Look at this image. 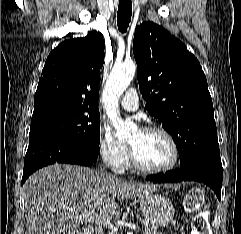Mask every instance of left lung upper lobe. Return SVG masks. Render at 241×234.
I'll return each instance as SVG.
<instances>
[{
    "mask_svg": "<svg viewBox=\"0 0 241 234\" xmlns=\"http://www.w3.org/2000/svg\"><path fill=\"white\" fill-rule=\"evenodd\" d=\"M133 53L145 109L172 135L180 167L199 160L221 163L212 99L195 56L153 22L136 28Z\"/></svg>",
    "mask_w": 241,
    "mask_h": 234,
    "instance_id": "left-lung-upper-lobe-1",
    "label": "left lung upper lobe"
}]
</instances>
